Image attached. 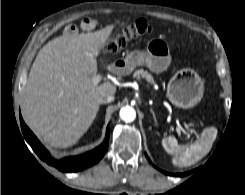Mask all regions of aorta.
<instances>
[{
    "label": "aorta",
    "instance_id": "1",
    "mask_svg": "<svg viewBox=\"0 0 245 195\" xmlns=\"http://www.w3.org/2000/svg\"><path fill=\"white\" fill-rule=\"evenodd\" d=\"M120 118L125 122H132L136 118V111L130 106L122 107L120 110Z\"/></svg>",
    "mask_w": 245,
    "mask_h": 195
}]
</instances>
